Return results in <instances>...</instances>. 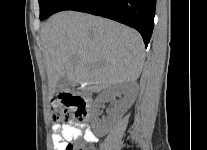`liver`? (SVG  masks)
Returning a JSON list of instances; mask_svg holds the SVG:
<instances>
[{
  "instance_id": "6515ba94",
  "label": "liver",
  "mask_w": 207,
  "mask_h": 150,
  "mask_svg": "<svg viewBox=\"0 0 207 150\" xmlns=\"http://www.w3.org/2000/svg\"><path fill=\"white\" fill-rule=\"evenodd\" d=\"M49 96L58 81L88 86L92 92L136 81L144 65V43L134 29L75 11L51 16L41 28Z\"/></svg>"
}]
</instances>
